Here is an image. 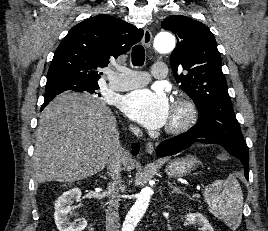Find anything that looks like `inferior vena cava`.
<instances>
[{"mask_svg": "<svg viewBox=\"0 0 268 231\" xmlns=\"http://www.w3.org/2000/svg\"><path fill=\"white\" fill-rule=\"evenodd\" d=\"M132 132L135 135L140 134V130L136 127H131ZM125 159L132 160L128 152H122L114 156L107 164V170L112 178V182L109 184L108 192L110 195H114L109 199L108 207L106 210V231H119V186L121 184V165Z\"/></svg>", "mask_w": 268, "mask_h": 231, "instance_id": "obj_1", "label": "inferior vena cava"}]
</instances>
